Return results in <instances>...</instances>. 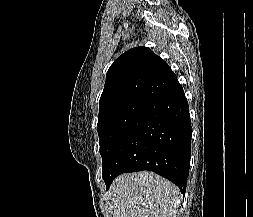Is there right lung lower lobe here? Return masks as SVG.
Returning a JSON list of instances; mask_svg holds the SVG:
<instances>
[{
	"instance_id": "right-lung-lower-lobe-1",
	"label": "right lung lower lobe",
	"mask_w": 253,
	"mask_h": 217,
	"mask_svg": "<svg viewBox=\"0 0 253 217\" xmlns=\"http://www.w3.org/2000/svg\"><path fill=\"white\" fill-rule=\"evenodd\" d=\"M191 135L188 102L176 81L149 102L118 140L103 172L106 187L124 172L150 170L185 194Z\"/></svg>"
}]
</instances>
